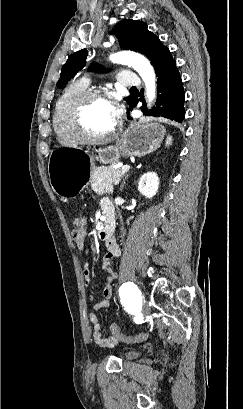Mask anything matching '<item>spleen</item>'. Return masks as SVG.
Listing matches in <instances>:
<instances>
[{
  "label": "spleen",
  "instance_id": "spleen-1",
  "mask_svg": "<svg viewBox=\"0 0 243 409\" xmlns=\"http://www.w3.org/2000/svg\"><path fill=\"white\" fill-rule=\"evenodd\" d=\"M172 143V137L168 136L167 141H166V146L170 145Z\"/></svg>",
  "mask_w": 243,
  "mask_h": 409
}]
</instances>
